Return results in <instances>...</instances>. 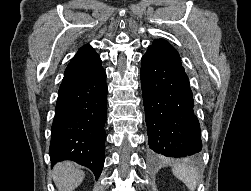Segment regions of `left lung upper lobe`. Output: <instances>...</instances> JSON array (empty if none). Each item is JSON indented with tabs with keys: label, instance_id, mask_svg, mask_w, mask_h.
I'll return each mask as SVG.
<instances>
[{
	"label": "left lung upper lobe",
	"instance_id": "1",
	"mask_svg": "<svg viewBox=\"0 0 251 191\" xmlns=\"http://www.w3.org/2000/svg\"><path fill=\"white\" fill-rule=\"evenodd\" d=\"M148 49L154 50L166 56L167 58L181 64V58L176 49L163 39L155 40L153 44L148 47Z\"/></svg>",
	"mask_w": 251,
	"mask_h": 191
}]
</instances>
